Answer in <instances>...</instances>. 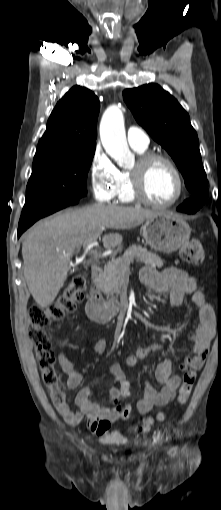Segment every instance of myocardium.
<instances>
[{
	"mask_svg": "<svg viewBox=\"0 0 221 510\" xmlns=\"http://www.w3.org/2000/svg\"><path fill=\"white\" fill-rule=\"evenodd\" d=\"M156 162L166 163L174 172L178 191L173 199L167 202H156L148 198L144 189V181L150 166ZM131 192L134 200L154 208H168L181 200L185 193V181L177 164L168 156L159 153H145L141 155L135 168L129 172Z\"/></svg>",
	"mask_w": 221,
	"mask_h": 510,
	"instance_id": "f54148a6",
	"label": "myocardium"
}]
</instances>
